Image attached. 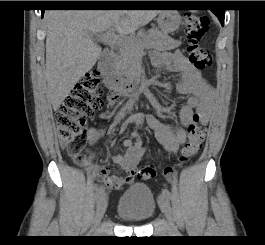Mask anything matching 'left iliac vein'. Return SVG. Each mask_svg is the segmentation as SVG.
I'll return each mask as SVG.
<instances>
[{
  "label": "left iliac vein",
  "instance_id": "obj_1",
  "mask_svg": "<svg viewBox=\"0 0 265 245\" xmlns=\"http://www.w3.org/2000/svg\"><path fill=\"white\" fill-rule=\"evenodd\" d=\"M158 203H159L161 211L164 213V215L167 218V221L171 227V230L176 231V228L174 225V220H173L172 209H171L170 202H169L168 198L162 194L158 198Z\"/></svg>",
  "mask_w": 265,
  "mask_h": 245
}]
</instances>
